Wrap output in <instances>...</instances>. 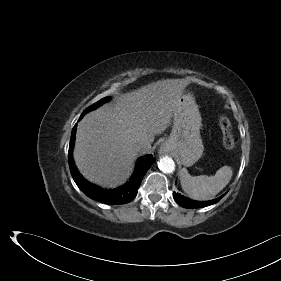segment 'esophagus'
Here are the masks:
<instances>
[{
	"mask_svg": "<svg viewBox=\"0 0 281 281\" xmlns=\"http://www.w3.org/2000/svg\"><path fill=\"white\" fill-rule=\"evenodd\" d=\"M168 150L165 147H161L160 154H166Z\"/></svg>",
	"mask_w": 281,
	"mask_h": 281,
	"instance_id": "34e87169",
	"label": "esophagus"
}]
</instances>
